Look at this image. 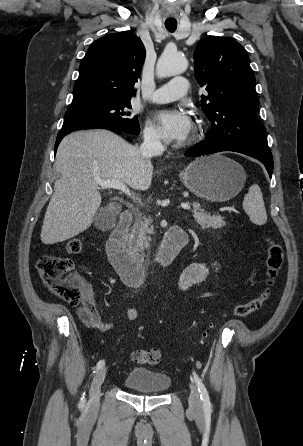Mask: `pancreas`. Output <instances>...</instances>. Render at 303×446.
<instances>
[{
    "mask_svg": "<svg viewBox=\"0 0 303 446\" xmlns=\"http://www.w3.org/2000/svg\"><path fill=\"white\" fill-rule=\"evenodd\" d=\"M193 217L202 228L218 229L225 226L224 218L219 215H211L200 207L198 202H193ZM150 219L137 215L136 221L128 234V249L132 252H142L149 246V235L153 234V226Z\"/></svg>",
    "mask_w": 303,
    "mask_h": 446,
    "instance_id": "pancreas-1",
    "label": "pancreas"
}]
</instances>
